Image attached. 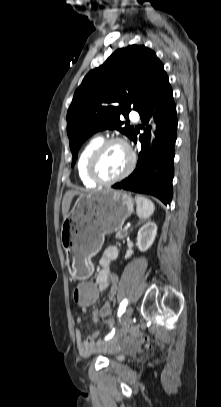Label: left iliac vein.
<instances>
[{"label":"left iliac vein","mask_w":221,"mask_h":407,"mask_svg":"<svg viewBox=\"0 0 221 407\" xmlns=\"http://www.w3.org/2000/svg\"><path fill=\"white\" fill-rule=\"evenodd\" d=\"M132 314H133V308H132L131 306H129V307L126 309V311H125V313H124V315H123V317H122V324H123V325H126V324L130 321ZM113 343H114V341L110 340V341L106 344V346H109V345H111V344H113Z\"/></svg>","instance_id":"4c4485c4"}]
</instances>
